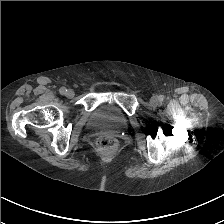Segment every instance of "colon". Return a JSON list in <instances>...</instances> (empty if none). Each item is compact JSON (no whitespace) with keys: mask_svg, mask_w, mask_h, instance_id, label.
<instances>
[{"mask_svg":"<svg viewBox=\"0 0 224 224\" xmlns=\"http://www.w3.org/2000/svg\"><path fill=\"white\" fill-rule=\"evenodd\" d=\"M115 144V140L107 136H103L98 139V145L102 149H112L115 147Z\"/></svg>","mask_w":224,"mask_h":224,"instance_id":"obj_1","label":"colon"}]
</instances>
